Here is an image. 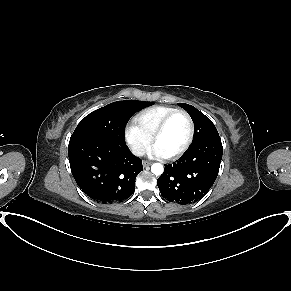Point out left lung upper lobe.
<instances>
[{
    "mask_svg": "<svg viewBox=\"0 0 291 291\" xmlns=\"http://www.w3.org/2000/svg\"><path fill=\"white\" fill-rule=\"evenodd\" d=\"M178 105L189 113L194 122V139L192 144L199 143L213 136H219L212 121L202 112L185 103H178Z\"/></svg>",
    "mask_w": 291,
    "mask_h": 291,
    "instance_id": "obj_1",
    "label": "left lung upper lobe"
}]
</instances>
